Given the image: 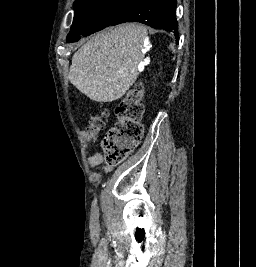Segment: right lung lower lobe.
Here are the masks:
<instances>
[{
	"label": "right lung lower lobe",
	"mask_w": 256,
	"mask_h": 267,
	"mask_svg": "<svg viewBox=\"0 0 256 267\" xmlns=\"http://www.w3.org/2000/svg\"><path fill=\"white\" fill-rule=\"evenodd\" d=\"M176 5V0H139L111 25L125 22H140L152 28L174 32L176 43H178V23L175 14Z\"/></svg>",
	"instance_id": "right-lung-lower-lobe-1"
}]
</instances>
